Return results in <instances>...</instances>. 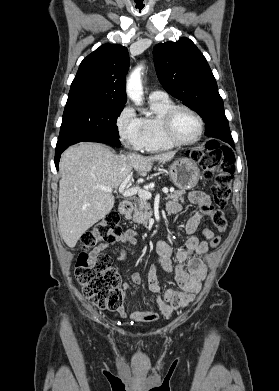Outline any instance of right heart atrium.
Returning a JSON list of instances; mask_svg holds the SVG:
<instances>
[{
    "mask_svg": "<svg viewBox=\"0 0 279 391\" xmlns=\"http://www.w3.org/2000/svg\"><path fill=\"white\" fill-rule=\"evenodd\" d=\"M115 127L123 144L132 149L140 148L141 123L134 109L125 105L115 119Z\"/></svg>",
    "mask_w": 279,
    "mask_h": 391,
    "instance_id": "obj_1",
    "label": "right heart atrium"
}]
</instances>
